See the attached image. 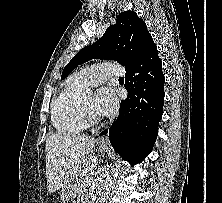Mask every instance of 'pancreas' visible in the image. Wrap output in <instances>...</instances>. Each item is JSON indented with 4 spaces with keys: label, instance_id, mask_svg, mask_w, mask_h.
Wrapping results in <instances>:
<instances>
[{
    "label": "pancreas",
    "instance_id": "cf45deb5",
    "mask_svg": "<svg viewBox=\"0 0 222 203\" xmlns=\"http://www.w3.org/2000/svg\"><path fill=\"white\" fill-rule=\"evenodd\" d=\"M90 179H92V176L86 175L77 182L76 194H80L85 190L87 183Z\"/></svg>",
    "mask_w": 222,
    "mask_h": 203
}]
</instances>
